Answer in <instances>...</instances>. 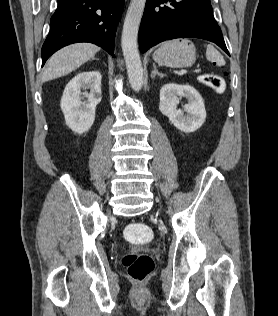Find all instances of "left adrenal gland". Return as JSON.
Returning a JSON list of instances; mask_svg holds the SVG:
<instances>
[{
  "label": "left adrenal gland",
  "mask_w": 278,
  "mask_h": 316,
  "mask_svg": "<svg viewBox=\"0 0 278 316\" xmlns=\"http://www.w3.org/2000/svg\"><path fill=\"white\" fill-rule=\"evenodd\" d=\"M154 70L151 73V78L154 79L156 76H159L160 78L164 77L165 75L163 73L158 72L156 65L153 63Z\"/></svg>",
  "instance_id": "left-adrenal-gland-1"
}]
</instances>
